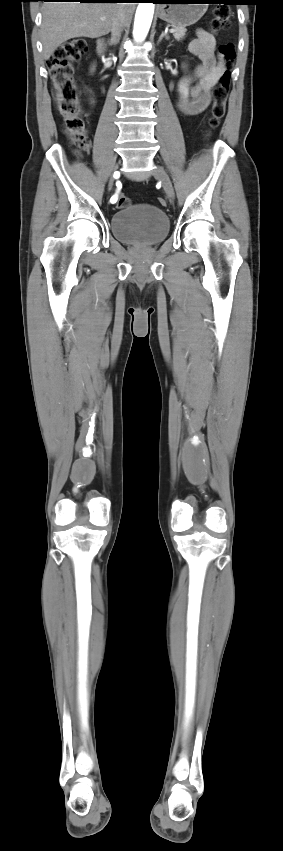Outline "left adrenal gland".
I'll return each instance as SVG.
<instances>
[{
	"label": "left adrenal gland",
	"instance_id": "1",
	"mask_svg": "<svg viewBox=\"0 0 283 851\" xmlns=\"http://www.w3.org/2000/svg\"><path fill=\"white\" fill-rule=\"evenodd\" d=\"M164 37H165L166 39H169V35H168L167 33H165V32H162V33H161V35H160V37H159L158 43H159V42H161V40H162Z\"/></svg>",
	"mask_w": 283,
	"mask_h": 851
}]
</instances>
